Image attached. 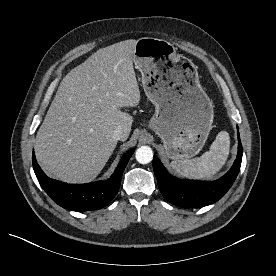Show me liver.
Segmentation results:
<instances>
[{"label": "liver", "instance_id": "1", "mask_svg": "<svg viewBox=\"0 0 276 276\" xmlns=\"http://www.w3.org/2000/svg\"><path fill=\"white\" fill-rule=\"evenodd\" d=\"M137 41L129 39L96 51L60 83L39 128L35 155L43 171L67 183H87L102 171L123 127L126 138L133 117L120 110L140 102L133 68Z\"/></svg>", "mask_w": 276, "mask_h": 276}]
</instances>
